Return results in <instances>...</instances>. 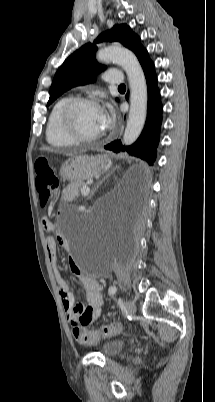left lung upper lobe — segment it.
I'll return each instance as SVG.
<instances>
[{
	"instance_id": "1",
	"label": "left lung upper lobe",
	"mask_w": 215,
	"mask_h": 402,
	"mask_svg": "<svg viewBox=\"0 0 215 402\" xmlns=\"http://www.w3.org/2000/svg\"><path fill=\"white\" fill-rule=\"evenodd\" d=\"M104 40L120 42L132 50L141 65L149 59L148 52L141 45L139 36L128 25H114L111 30L99 35L93 44L83 45L64 61L54 76L47 105L72 87L93 82L96 74L105 70L106 67L99 65L95 60L97 50L95 44Z\"/></svg>"
}]
</instances>
